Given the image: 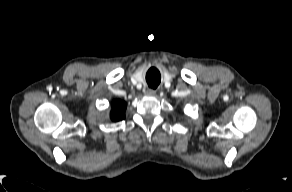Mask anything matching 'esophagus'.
<instances>
[{"label":"esophagus","instance_id":"1","mask_svg":"<svg viewBox=\"0 0 292 192\" xmlns=\"http://www.w3.org/2000/svg\"><path fill=\"white\" fill-rule=\"evenodd\" d=\"M145 95H147V96H155L156 95V90H154V89H147L145 91Z\"/></svg>","mask_w":292,"mask_h":192}]
</instances>
